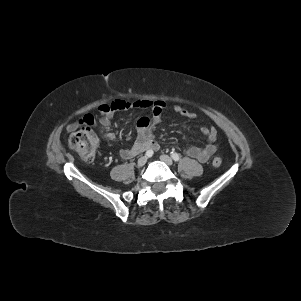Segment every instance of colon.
<instances>
[{
  "label": "colon",
  "mask_w": 301,
  "mask_h": 301,
  "mask_svg": "<svg viewBox=\"0 0 301 301\" xmlns=\"http://www.w3.org/2000/svg\"><path fill=\"white\" fill-rule=\"evenodd\" d=\"M97 144V136L88 127L72 133L69 137L70 148L84 161H92L94 159ZM212 164L215 167H219L222 164V159L220 157H215Z\"/></svg>",
  "instance_id": "obj_1"
}]
</instances>
